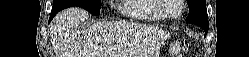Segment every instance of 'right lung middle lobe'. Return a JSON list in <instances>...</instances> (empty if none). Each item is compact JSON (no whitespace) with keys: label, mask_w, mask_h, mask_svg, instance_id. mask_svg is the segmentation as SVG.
<instances>
[{"label":"right lung middle lobe","mask_w":249,"mask_h":57,"mask_svg":"<svg viewBox=\"0 0 249 57\" xmlns=\"http://www.w3.org/2000/svg\"><path fill=\"white\" fill-rule=\"evenodd\" d=\"M101 0H53V10H63L72 6L82 7L94 15H100Z\"/></svg>","instance_id":"right-lung-middle-lobe-1"}]
</instances>
